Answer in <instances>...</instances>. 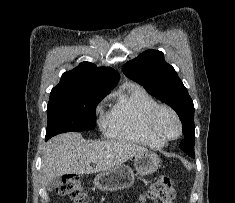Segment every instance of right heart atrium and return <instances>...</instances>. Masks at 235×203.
Returning a JSON list of instances; mask_svg holds the SVG:
<instances>
[{
    "mask_svg": "<svg viewBox=\"0 0 235 203\" xmlns=\"http://www.w3.org/2000/svg\"><path fill=\"white\" fill-rule=\"evenodd\" d=\"M101 108H102V105L99 106V109H101Z\"/></svg>",
    "mask_w": 235,
    "mask_h": 203,
    "instance_id": "obj_1",
    "label": "right heart atrium"
}]
</instances>
